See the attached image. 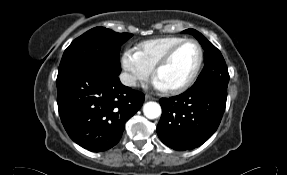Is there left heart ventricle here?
<instances>
[{
  "mask_svg": "<svg viewBox=\"0 0 287 175\" xmlns=\"http://www.w3.org/2000/svg\"><path fill=\"white\" fill-rule=\"evenodd\" d=\"M198 59V47L194 43L185 44L177 51L169 64L160 70L158 79L165 88L180 86L192 75Z\"/></svg>",
  "mask_w": 287,
  "mask_h": 175,
  "instance_id": "b2bd125f",
  "label": "left heart ventricle"
}]
</instances>
